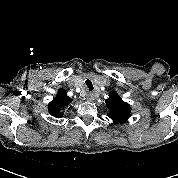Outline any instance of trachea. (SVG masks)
I'll return each mask as SVG.
<instances>
[{
    "label": "trachea",
    "instance_id": "1",
    "mask_svg": "<svg viewBox=\"0 0 178 178\" xmlns=\"http://www.w3.org/2000/svg\"><path fill=\"white\" fill-rule=\"evenodd\" d=\"M85 85H86V88L89 90V91H92L93 90V84H92V81L87 79L85 81Z\"/></svg>",
    "mask_w": 178,
    "mask_h": 178
}]
</instances>
